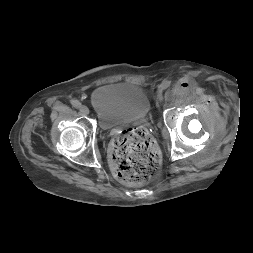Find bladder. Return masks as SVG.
Here are the masks:
<instances>
[{"label":"bladder","instance_id":"1","mask_svg":"<svg viewBox=\"0 0 253 253\" xmlns=\"http://www.w3.org/2000/svg\"><path fill=\"white\" fill-rule=\"evenodd\" d=\"M90 102L102 123H117L146 117L151 101L139 85L128 82L105 84L95 89Z\"/></svg>","mask_w":253,"mask_h":253}]
</instances>
